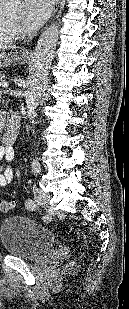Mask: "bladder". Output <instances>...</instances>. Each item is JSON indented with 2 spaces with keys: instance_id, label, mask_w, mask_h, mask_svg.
I'll return each instance as SVG.
<instances>
[{
  "instance_id": "1",
  "label": "bladder",
  "mask_w": 129,
  "mask_h": 309,
  "mask_svg": "<svg viewBox=\"0 0 129 309\" xmlns=\"http://www.w3.org/2000/svg\"><path fill=\"white\" fill-rule=\"evenodd\" d=\"M0 242L13 256L31 259L56 246L55 235L35 220L21 215L4 219L0 224Z\"/></svg>"
}]
</instances>
